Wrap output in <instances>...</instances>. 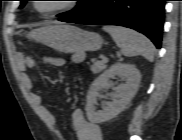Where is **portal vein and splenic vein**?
Instances as JSON below:
<instances>
[{
	"label": "portal vein and splenic vein",
	"mask_w": 182,
	"mask_h": 140,
	"mask_svg": "<svg viewBox=\"0 0 182 140\" xmlns=\"http://www.w3.org/2000/svg\"><path fill=\"white\" fill-rule=\"evenodd\" d=\"M101 58H102V61H104V62L108 61V59L105 56H102Z\"/></svg>",
	"instance_id": "portal-vein-and-splenic-vein-1"
}]
</instances>
